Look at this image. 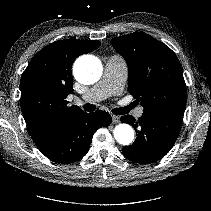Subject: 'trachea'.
Listing matches in <instances>:
<instances>
[{
  "instance_id": "trachea-1",
  "label": "trachea",
  "mask_w": 211,
  "mask_h": 211,
  "mask_svg": "<svg viewBox=\"0 0 211 211\" xmlns=\"http://www.w3.org/2000/svg\"><path fill=\"white\" fill-rule=\"evenodd\" d=\"M134 107H135V104L131 103L130 105L126 107L113 109L112 112L117 115H122V114L128 113ZM83 108L85 111L92 112L96 109V106L94 104H85Z\"/></svg>"
}]
</instances>
